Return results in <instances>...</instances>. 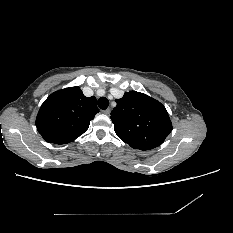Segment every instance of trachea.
Segmentation results:
<instances>
[{"label":"trachea","instance_id":"obj_1","mask_svg":"<svg viewBox=\"0 0 233 233\" xmlns=\"http://www.w3.org/2000/svg\"><path fill=\"white\" fill-rule=\"evenodd\" d=\"M109 106V100L106 97H101L98 99V107L102 110L107 109Z\"/></svg>","mask_w":233,"mask_h":233}]
</instances>
